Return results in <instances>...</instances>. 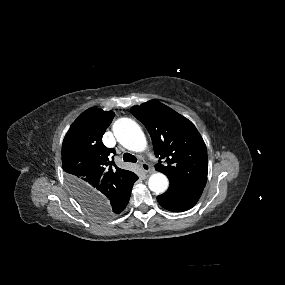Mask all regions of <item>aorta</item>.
I'll list each match as a JSON object with an SVG mask.
<instances>
[{
	"instance_id": "aorta-1",
	"label": "aorta",
	"mask_w": 285,
	"mask_h": 285,
	"mask_svg": "<svg viewBox=\"0 0 285 285\" xmlns=\"http://www.w3.org/2000/svg\"><path fill=\"white\" fill-rule=\"evenodd\" d=\"M113 131L118 142L126 149L134 152H142L147 148L146 137L139 125L130 118H120L113 126ZM168 178L160 172L150 176L148 181L149 189L160 194L167 190Z\"/></svg>"
}]
</instances>
